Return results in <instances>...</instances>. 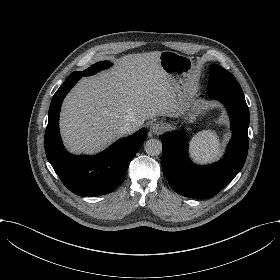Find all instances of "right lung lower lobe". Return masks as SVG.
<instances>
[{"instance_id": "right-lung-lower-lobe-1", "label": "right lung lower lobe", "mask_w": 280, "mask_h": 280, "mask_svg": "<svg viewBox=\"0 0 280 280\" xmlns=\"http://www.w3.org/2000/svg\"><path fill=\"white\" fill-rule=\"evenodd\" d=\"M82 76L80 72L71 73L54 94L44 146L47 159L71 192L79 196H100L114 191L123 182L130 161L147 136V129L118 140L96 156H75L67 152L59 133V113L64 97Z\"/></svg>"}]
</instances>
